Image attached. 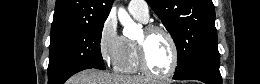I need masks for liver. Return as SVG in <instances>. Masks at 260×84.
I'll use <instances>...</instances> for the list:
<instances>
[{
	"mask_svg": "<svg viewBox=\"0 0 260 84\" xmlns=\"http://www.w3.org/2000/svg\"><path fill=\"white\" fill-rule=\"evenodd\" d=\"M71 84H149V80L138 76L114 75L95 69H87L74 75Z\"/></svg>",
	"mask_w": 260,
	"mask_h": 84,
	"instance_id": "liver-1",
	"label": "liver"
}]
</instances>
